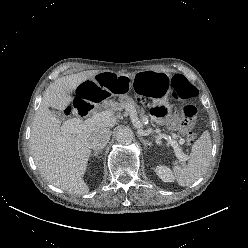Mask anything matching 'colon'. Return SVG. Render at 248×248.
<instances>
[{"mask_svg": "<svg viewBox=\"0 0 248 248\" xmlns=\"http://www.w3.org/2000/svg\"><path fill=\"white\" fill-rule=\"evenodd\" d=\"M171 89L173 96L176 99L187 101L181 109L184 120L180 123L192 124V119L195 117L197 109L194 104L188 101L197 95V89L181 74H177L173 77L171 81ZM72 113L73 110L71 107H68L65 110V114L67 116L71 115ZM190 128L186 131V140L188 144H192L196 139V133Z\"/></svg>", "mask_w": 248, "mask_h": 248, "instance_id": "obj_1", "label": "colon"}]
</instances>
